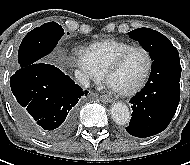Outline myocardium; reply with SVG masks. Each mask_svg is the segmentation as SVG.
Masks as SVG:
<instances>
[{"label": "myocardium", "mask_w": 190, "mask_h": 165, "mask_svg": "<svg viewBox=\"0 0 190 165\" xmlns=\"http://www.w3.org/2000/svg\"><path fill=\"white\" fill-rule=\"evenodd\" d=\"M133 50H141L147 56L148 64H147V68H146V71H145L143 77L136 85H134L133 87H131L129 89L120 90V89H116V88L110 86L109 79H110L111 75L118 69V67L121 65V63L124 60V58L126 57V55L129 54ZM152 68H153V57H152L151 52L142 45H132V46L124 49L123 51H121L110 63V65L108 66V68L106 69V71L104 73L105 82L117 94H119L121 96H130V95L137 93L144 87V85L146 84V82L152 72Z\"/></svg>", "instance_id": "myocardium-1"}]
</instances>
